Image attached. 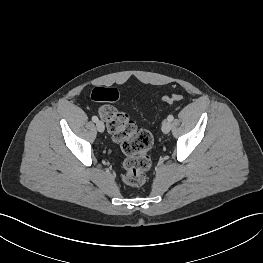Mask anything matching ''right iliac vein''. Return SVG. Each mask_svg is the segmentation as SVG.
Masks as SVG:
<instances>
[{
    "mask_svg": "<svg viewBox=\"0 0 263 263\" xmlns=\"http://www.w3.org/2000/svg\"><path fill=\"white\" fill-rule=\"evenodd\" d=\"M96 127L99 132H103L105 130L104 123L102 121L96 122Z\"/></svg>",
    "mask_w": 263,
    "mask_h": 263,
    "instance_id": "63e3f726",
    "label": "right iliac vein"
}]
</instances>
